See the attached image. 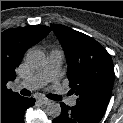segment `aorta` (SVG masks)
Segmentation results:
<instances>
[{"label":"aorta","instance_id":"762f6f07","mask_svg":"<svg viewBox=\"0 0 123 123\" xmlns=\"http://www.w3.org/2000/svg\"><path fill=\"white\" fill-rule=\"evenodd\" d=\"M25 62L33 69L42 68L46 63V56L38 49L29 50L25 56ZM46 113L52 118H57L61 114V106L58 102H50L46 107Z\"/></svg>","mask_w":123,"mask_h":123}]
</instances>
